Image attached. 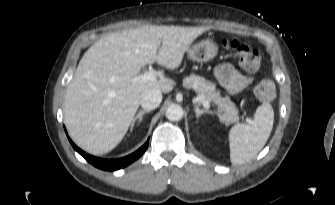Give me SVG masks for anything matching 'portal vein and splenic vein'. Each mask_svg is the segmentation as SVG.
Wrapping results in <instances>:
<instances>
[{"instance_id": "obj_1", "label": "portal vein and splenic vein", "mask_w": 335, "mask_h": 205, "mask_svg": "<svg viewBox=\"0 0 335 205\" xmlns=\"http://www.w3.org/2000/svg\"><path fill=\"white\" fill-rule=\"evenodd\" d=\"M158 78V74L156 72H154L152 69L146 71L144 74L136 77L134 80L135 81H154V80H157ZM202 100V105L205 107V108H209L210 105H209V102L204 100L203 97L200 98ZM246 121L247 122H251L250 118L246 117Z\"/></svg>"}]
</instances>
